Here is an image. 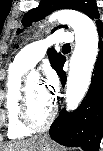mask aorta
<instances>
[{"label":"aorta","instance_id":"1","mask_svg":"<svg viewBox=\"0 0 103 151\" xmlns=\"http://www.w3.org/2000/svg\"><path fill=\"white\" fill-rule=\"evenodd\" d=\"M49 21L69 25L75 33V48L70 60L66 88L67 110L76 109L88 91L98 55L99 36L96 25L86 15L74 10L53 13Z\"/></svg>","mask_w":103,"mask_h":151}]
</instances>
